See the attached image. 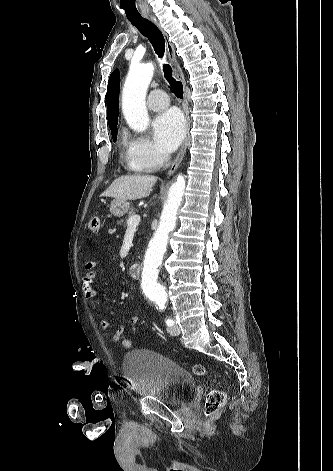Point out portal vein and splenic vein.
I'll use <instances>...</instances> for the list:
<instances>
[{
  "mask_svg": "<svg viewBox=\"0 0 333 471\" xmlns=\"http://www.w3.org/2000/svg\"><path fill=\"white\" fill-rule=\"evenodd\" d=\"M139 222H140V216L139 215H133L128 219L127 224L130 225V226L131 225L138 226Z\"/></svg>",
  "mask_w": 333,
  "mask_h": 471,
  "instance_id": "portal-vein-and-splenic-vein-1",
  "label": "portal vein and splenic vein"
}]
</instances>
